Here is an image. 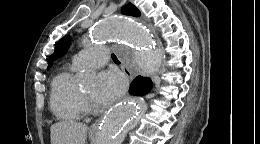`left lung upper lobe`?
Returning <instances> with one entry per match:
<instances>
[{
	"mask_svg": "<svg viewBox=\"0 0 260 144\" xmlns=\"http://www.w3.org/2000/svg\"><path fill=\"white\" fill-rule=\"evenodd\" d=\"M121 12L125 15H132L136 17L140 15V11L131 3L123 6ZM70 43L69 36H64L57 42L54 53L49 57L48 68L52 65L54 60L63 56L67 52Z\"/></svg>",
	"mask_w": 260,
	"mask_h": 144,
	"instance_id": "1",
	"label": "left lung upper lobe"
}]
</instances>
